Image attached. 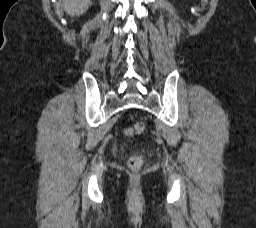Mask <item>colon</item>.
Wrapping results in <instances>:
<instances>
[{"instance_id":"obj_1","label":"colon","mask_w":256,"mask_h":228,"mask_svg":"<svg viewBox=\"0 0 256 228\" xmlns=\"http://www.w3.org/2000/svg\"><path fill=\"white\" fill-rule=\"evenodd\" d=\"M145 125L142 122H136L131 127L125 130L127 135H140L143 133ZM143 165V157L141 155H134L128 160V167L130 170L136 172L141 169Z\"/></svg>"}]
</instances>
